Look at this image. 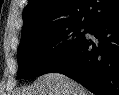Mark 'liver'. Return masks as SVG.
Masks as SVG:
<instances>
[{
	"label": "liver",
	"instance_id": "obj_1",
	"mask_svg": "<svg viewBox=\"0 0 119 95\" xmlns=\"http://www.w3.org/2000/svg\"><path fill=\"white\" fill-rule=\"evenodd\" d=\"M16 95H92L83 86L59 73H47Z\"/></svg>",
	"mask_w": 119,
	"mask_h": 95
}]
</instances>
